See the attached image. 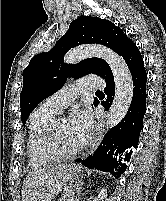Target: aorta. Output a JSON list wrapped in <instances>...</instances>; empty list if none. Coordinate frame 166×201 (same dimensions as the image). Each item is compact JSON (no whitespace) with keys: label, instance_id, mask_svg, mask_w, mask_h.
I'll use <instances>...</instances> for the list:
<instances>
[{"label":"aorta","instance_id":"1","mask_svg":"<svg viewBox=\"0 0 166 201\" xmlns=\"http://www.w3.org/2000/svg\"><path fill=\"white\" fill-rule=\"evenodd\" d=\"M99 57L105 60L114 77L115 95L107 113L105 128L111 129L122 121L128 112L133 97V81L124 59L102 45H85L72 49L65 56L66 63H78L83 59Z\"/></svg>","mask_w":166,"mask_h":201}]
</instances>
